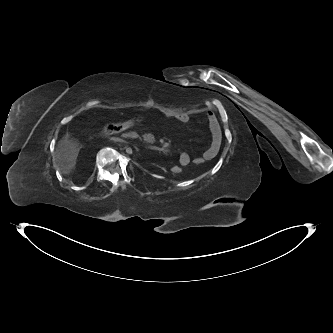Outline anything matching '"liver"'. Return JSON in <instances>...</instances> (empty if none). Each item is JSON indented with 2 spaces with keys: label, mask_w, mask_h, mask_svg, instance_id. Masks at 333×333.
Masks as SVG:
<instances>
[{
  "label": "liver",
  "mask_w": 333,
  "mask_h": 333,
  "mask_svg": "<svg viewBox=\"0 0 333 333\" xmlns=\"http://www.w3.org/2000/svg\"><path fill=\"white\" fill-rule=\"evenodd\" d=\"M80 148L79 141L71 138L68 132L59 141L54 160L62 174L68 175L75 169Z\"/></svg>",
  "instance_id": "1"
}]
</instances>
